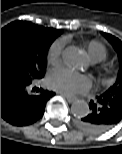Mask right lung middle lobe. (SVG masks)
<instances>
[{
    "mask_svg": "<svg viewBox=\"0 0 122 154\" xmlns=\"http://www.w3.org/2000/svg\"><path fill=\"white\" fill-rule=\"evenodd\" d=\"M62 30L14 21L1 29V66L24 80L41 79L52 42Z\"/></svg>",
    "mask_w": 122,
    "mask_h": 154,
    "instance_id": "1",
    "label": "right lung middle lobe"
}]
</instances>
